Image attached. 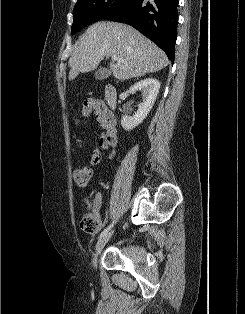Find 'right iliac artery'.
<instances>
[{"mask_svg":"<svg viewBox=\"0 0 245 314\" xmlns=\"http://www.w3.org/2000/svg\"><path fill=\"white\" fill-rule=\"evenodd\" d=\"M113 225H114V221L112 222V224H110L106 229H104V230L100 233L99 238L105 236V235L109 232V230L111 229V227H113Z\"/></svg>","mask_w":245,"mask_h":314,"instance_id":"1","label":"right iliac artery"}]
</instances>
